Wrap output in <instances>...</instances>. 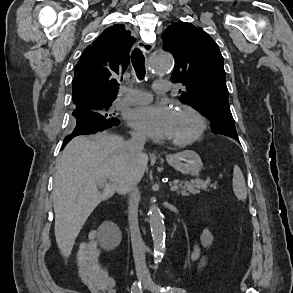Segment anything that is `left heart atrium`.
I'll return each mask as SVG.
<instances>
[{"mask_svg": "<svg viewBox=\"0 0 293 293\" xmlns=\"http://www.w3.org/2000/svg\"><path fill=\"white\" fill-rule=\"evenodd\" d=\"M173 118L174 112L166 104L137 106L126 112L128 124L152 138H168Z\"/></svg>", "mask_w": 293, "mask_h": 293, "instance_id": "39dd6f15", "label": "left heart atrium"}]
</instances>
